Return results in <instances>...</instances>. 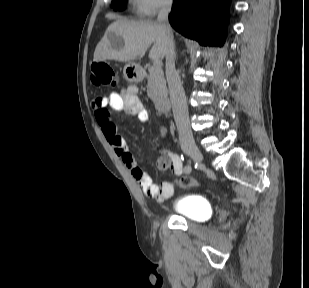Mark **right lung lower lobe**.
Returning <instances> with one entry per match:
<instances>
[{"instance_id": "right-lung-lower-lobe-1", "label": "right lung lower lobe", "mask_w": 309, "mask_h": 288, "mask_svg": "<svg viewBox=\"0 0 309 288\" xmlns=\"http://www.w3.org/2000/svg\"><path fill=\"white\" fill-rule=\"evenodd\" d=\"M230 0H174L170 24L201 44L222 46Z\"/></svg>"}]
</instances>
